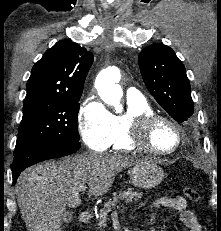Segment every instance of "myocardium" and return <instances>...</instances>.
<instances>
[{"label": "myocardium", "instance_id": "myocardium-1", "mask_svg": "<svg viewBox=\"0 0 221 231\" xmlns=\"http://www.w3.org/2000/svg\"><path fill=\"white\" fill-rule=\"evenodd\" d=\"M159 123L168 124L176 133L177 141L174 147L169 150H157L152 145V130ZM128 137L130 142L139 149L156 156H168L180 148L183 140V133L181 127L173 119L162 114L151 112L142 114L129 121Z\"/></svg>", "mask_w": 221, "mask_h": 231}]
</instances>
